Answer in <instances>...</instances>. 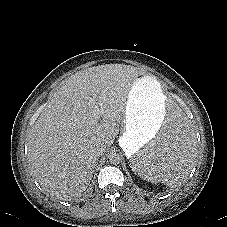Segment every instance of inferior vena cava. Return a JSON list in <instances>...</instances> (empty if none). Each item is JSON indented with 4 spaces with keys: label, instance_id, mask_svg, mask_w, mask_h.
Instances as JSON below:
<instances>
[{
    "label": "inferior vena cava",
    "instance_id": "inferior-vena-cava-1",
    "mask_svg": "<svg viewBox=\"0 0 227 227\" xmlns=\"http://www.w3.org/2000/svg\"><path fill=\"white\" fill-rule=\"evenodd\" d=\"M106 148H107V146L104 143L97 145L94 149L95 156L96 157L102 156L104 154Z\"/></svg>",
    "mask_w": 227,
    "mask_h": 227
}]
</instances>
